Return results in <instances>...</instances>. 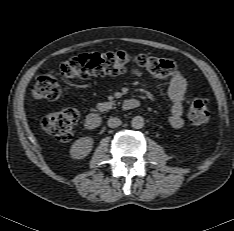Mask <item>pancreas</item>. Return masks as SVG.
Segmentation results:
<instances>
[{"label": "pancreas", "mask_w": 234, "mask_h": 231, "mask_svg": "<svg viewBox=\"0 0 234 231\" xmlns=\"http://www.w3.org/2000/svg\"><path fill=\"white\" fill-rule=\"evenodd\" d=\"M115 105L114 101H110V102H103V103H99L97 105V109L101 112L103 111H108L109 109H111L113 106Z\"/></svg>", "instance_id": "1"}]
</instances>
